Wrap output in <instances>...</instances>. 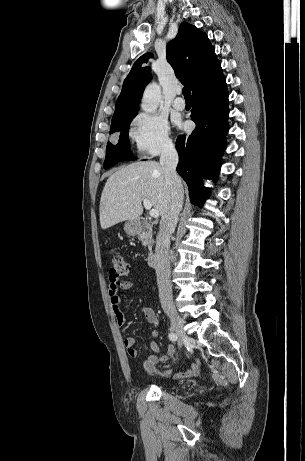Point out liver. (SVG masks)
<instances>
[{
  "mask_svg": "<svg viewBox=\"0 0 305 461\" xmlns=\"http://www.w3.org/2000/svg\"><path fill=\"white\" fill-rule=\"evenodd\" d=\"M169 196L164 171L158 162H135L125 166L112 174L103 188L99 208L101 228L139 219L143 213V199H148L163 216Z\"/></svg>",
  "mask_w": 305,
  "mask_h": 461,
  "instance_id": "1",
  "label": "liver"
}]
</instances>
